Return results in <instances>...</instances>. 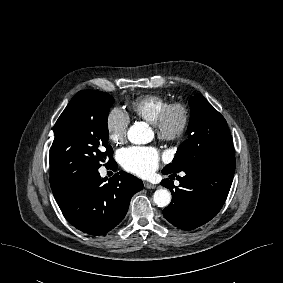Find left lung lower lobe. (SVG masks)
<instances>
[{
    "instance_id": "left-lung-lower-lobe-1",
    "label": "left lung lower lobe",
    "mask_w": 283,
    "mask_h": 283,
    "mask_svg": "<svg viewBox=\"0 0 283 283\" xmlns=\"http://www.w3.org/2000/svg\"><path fill=\"white\" fill-rule=\"evenodd\" d=\"M180 171L184 177L177 176ZM180 171L162 170L163 174H171L170 179L177 176L180 182L175 187L173 181L162 180L161 184L172 193V201L163 214L173 225L192 230L210 221L222 208L232 184L235 159L197 164Z\"/></svg>"
}]
</instances>
